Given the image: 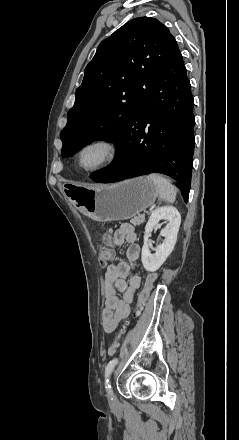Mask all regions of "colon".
<instances>
[{"mask_svg":"<svg viewBox=\"0 0 239 440\" xmlns=\"http://www.w3.org/2000/svg\"><path fill=\"white\" fill-rule=\"evenodd\" d=\"M103 242H104V245L99 249V258H100V261L102 264H106L111 259L113 250H112V243H111V240L108 235H105L103 237ZM155 279H156L155 274H150L146 278L144 288L142 289V291L139 295L138 302L136 305V309H135L136 315H139L141 313L145 303L147 302L149 295L153 289V284H154ZM126 326L127 325L124 324L119 329V331L115 337V340L108 348V355L112 356L117 352V349L119 346L118 341H119L120 337L123 335V333L125 332Z\"/></svg>","mask_w":239,"mask_h":440,"instance_id":"obj_1","label":"colon"}]
</instances>
